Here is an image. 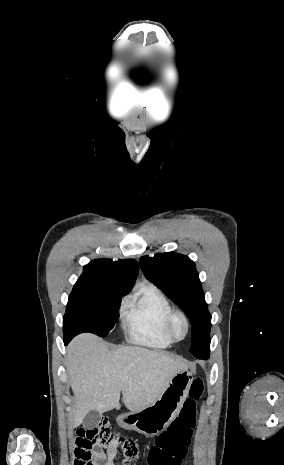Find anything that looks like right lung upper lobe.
<instances>
[{
	"label": "right lung upper lobe",
	"instance_id": "cb5924a9",
	"mask_svg": "<svg viewBox=\"0 0 284 465\" xmlns=\"http://www.w3.org/2000/svg\"><path fill=\"white\" fill-rule=\"evenodd\" d=\"M138 271V263L133 259L113 262L111 259L101 258L85 265L76 283L96 285L119 294H127L137 278Z\"/></svg>",
	"mask_w": 284,
	"mask_h": 465
}]
</instances>
